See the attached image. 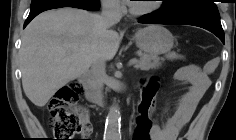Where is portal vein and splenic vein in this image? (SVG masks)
Wrapping results in <instances>:
<instances>
[{
  "mask_svg": "<svg viewBox=\"0 0 236 140\" xmlns=\"http://www.w3.org/2000/svg\"><path fill=\"white\" fill-rule=\"evenodd\" d=\"M136 63H137L136 59H130L129 62H128V65L131 66V65H134Z\"/></svg>",
  "mask_w": 236,
  "mask_h": 140,
  "instance_id": "18ae733b",
  "label": "portal vein and splenic vein"
}]
</instances>
